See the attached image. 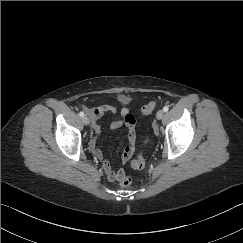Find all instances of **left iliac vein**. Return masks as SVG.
I'll return each instance as SVG.
<instances>
[{
    "label": "left iliac vein",
    "instance_id": "1",
    "mask_svg": "<svg viewBox=\"0 0 243 243\" xmlns=\"http://www.w3.org/2000/svg\"><path fill=\"white\" fill-rule=\"evenodd\" d=\"M156 117L158 120H161L164 117V111L163 110H158V112L156 113ZM154 130L156 131L157 128L154 127Z\"/></svg>",
    "mask_w": 243,
    "mask_h": 243
}]
</instances>
